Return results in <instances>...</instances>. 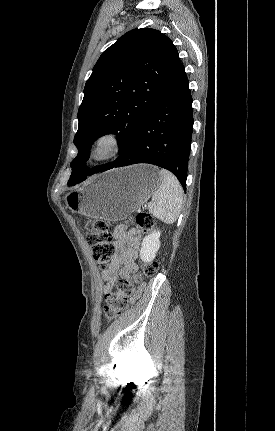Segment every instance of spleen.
Instances as JSON below:
<instances>
[{
    "label": "spleen",
    "mask_w": 275,
    "mask_h": 431,
    "mask_svg": "<svg viewBox=\"0 0 275 431\" xmlns=\"http://www.w3.org/2000/svg\"><path fill=\"white\" fill-rule=\"evenodd\" d=\"M161 183L152 195L149 212L167 224H173L181 211L183 190L177 178L169 171H159Z\"/></svg>",
    "instance_id": "1"
}]
</instances>
